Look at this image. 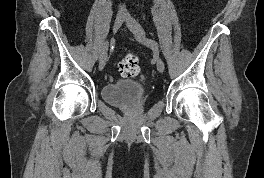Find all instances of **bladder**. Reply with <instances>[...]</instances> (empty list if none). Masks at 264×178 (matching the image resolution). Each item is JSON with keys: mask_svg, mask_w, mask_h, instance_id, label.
I'll return each mask as SVG.
<instances>
[{"mask_svg": "<svg viewBox=\"0 0 264 178\" xmlns=\"http://www.w3.org/2000/svg\"><path fill=\"white\" fill-rule=\"evenodd\" d=\"M145 94V85L130 78L108 83L102 88L103 100L109 105L121 108L139 105L143 102Z\"/></svg>", "mask_w": 264, "mask_h": 178, "instance_id": "obj_1", "label": "bladder"}]
</instances>
